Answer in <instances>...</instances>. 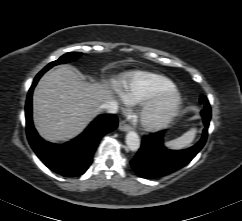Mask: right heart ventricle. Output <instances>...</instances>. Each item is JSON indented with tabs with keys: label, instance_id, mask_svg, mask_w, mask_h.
<instances>
[{
	"label": "right heart ventricle",
	"instance_id": "1",
	"mask_svg": "<svg viewBox=\"0 0 242 221\" xmlns=\"http://www.w3.org/2000/svg\"><path fill=\"white\" fill-rule=\"evenodd\" d=\"M174 88L175 84L162 75L137 72L124 82L121 91L130 102L143 103L162 92Z\"/></svg>",
	"mask_w": 242,
	"mask_h": 221
}]
</instances>
